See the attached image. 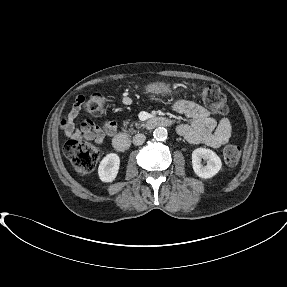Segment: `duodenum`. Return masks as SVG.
<instances>
[{
    "instance_id": "obj_1",
    "label": "duodenum",
    "mask_w": 287,
    "mask_h": 287,
    "mask_svg": "<svg viewBox=\"0 0 287 287\" xmlns=\"http://www.w3.org/2000/svg\"><path fill=\"white\" fill-rule=\"evenodd\" d=\"M171 125L170 119L163 116H152L146 123L145 127L149 130L157 127H167ZM113 147L120 152L126 151L130 146V139L126 134H117L112 140Z\"/></svg>"
}]
</instances>
